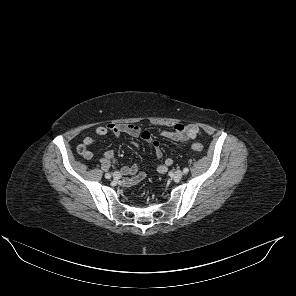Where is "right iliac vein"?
Masks as SVG:
<instances>
[{"label":"right iliac vein","mask_w":296,"mask_h":296,"mask_svg":"<svg viewBox=\"0 0 296 296\" xmlns=\"http://www.w3.org/2000/svg\"><path fill=\"white\" fill-rule=\"evenodd\" d=\"M113 177H114V179H119L120 178V173L119 172H114Z\"/></svg>","instance_id":"obj_1"}]
</instances>
